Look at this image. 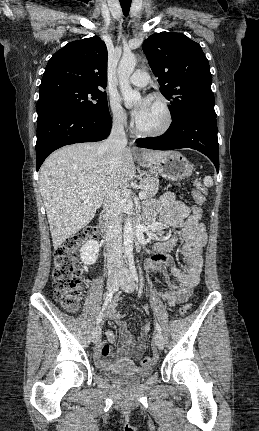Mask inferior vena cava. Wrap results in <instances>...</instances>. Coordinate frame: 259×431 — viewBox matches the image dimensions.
Wrapping results in <instances>:
<instances>
[{
    "instance_id": "602c4592",
    "label": "inferior vena cava",
    "mask_w": 259,
    "mask_h": 431,
    "mask_svg": "<svg viewBox=\"0 0 259 431\" xmlns=\"http://www.w3.org/2000/svg\"><path fill=\"white\" fill-rule=\"evenodd\" d=\"M127 145L124 131V118L114 120L109 137L100 145L99 151H105L110 168L116 167L121 153ZM104 210L108 218L106 231V250L108 264L121 266L122 258V208L117 191H110L104 200Z\"/></svg>"
}]
</instances>
